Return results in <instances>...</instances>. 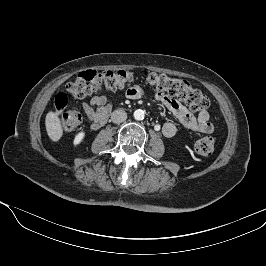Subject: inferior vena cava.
<instances>
[{"label":"inferior vena cava","instance_id":"inferior-vena-cava-1","mask_svg":"<svg viewBox=\"0 0 266 266\" xmlns=\"http://www.w3.org/2000/svg\"><path fill=\"white\" fill-rule=\"evenodd\" d=\"M127 119V113L123 110H115L111 114V120L115 124H120Z\"/></svg>","mask_w":266,"mask_h":266}]
</instances>
